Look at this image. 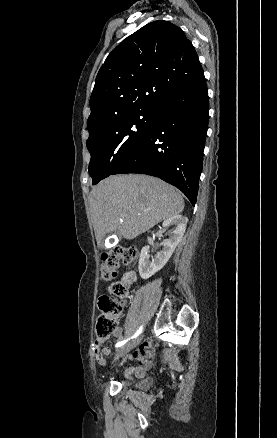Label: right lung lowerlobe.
I'll use <instances>...</instances> for the list:
<instances>
[{
  "label": "right lung lower lobe",
  "instance_id": "obj_1",
  "mask_svg": "<svg viewBox=\"0 0 277 438\" xmlns=\"http://www.w3.org/2000/svg\"><path fill=\"white\" fill-rule=\"evenodd\" d=\"M208 100L204 75L163 97L156 104L144 140L112 175L159 177L179 188L195 205L208 128Z\"/></svg>",
  "mask_w": 277,
  "mask_h": 438
}]
</instances>
